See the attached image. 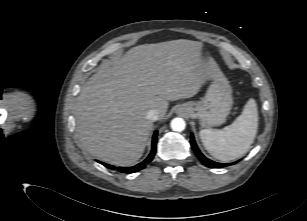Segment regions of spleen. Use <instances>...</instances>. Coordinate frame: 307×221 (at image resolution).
Listing matches in <instances>:
<instances>
[{"label":"spleen","instance_id":"spleen-1","mask_svg":"<svg viewBox=\"0 0 307 221\" xmlns=\"http://www.w3.org/2000/svg\"><path fill=\"white\" fill-rule=\"evenodd\" d=\"M258 130V109L256 101L250 98L240 116L225 128L203 129L199 132L201 141L214 158L229 162L248 152Z\"/></svg>","mask_w":307,"mask_h":221}]
</instances>
